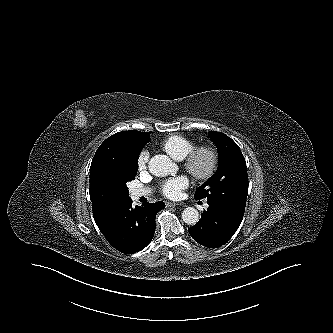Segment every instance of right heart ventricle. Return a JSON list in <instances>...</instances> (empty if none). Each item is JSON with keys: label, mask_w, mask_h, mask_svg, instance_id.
I'll use <instances>...</instances> for the list:
<instances>
[{"label": "right heart ventricle", "mask_w": 333, "mask_h": 333, "mask_svg": "<svg viewBox=\"0 0 333 333\" xmlns=\"http://www.w3.org/2000/svg\"><path fill=\"white\" fill-rule=\"evenodd\" d=\"M160 147L172 159L182 161L195 147V143L194 141L183 136L171 135L161 142Z\"/></svg>", "instance_id": "right-heart-ventricle-1"}]
</instances>
